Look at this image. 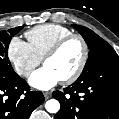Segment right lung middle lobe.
<instances>
[{
  "instance_id": "obj_1",
  "label": "right lung middle lobe",
  "mask_w": 119,
  "mask_h": 119,
  "mask_svg": "<svg viewBox=\"0 0 119 119\" xmlns=\"http://www.w3.org/2000/svg\"><path fill=\"white\" fill-rule=\"evenodd\" d=\"M22 27H17L9 29L8 32L0 31V74L11 75L15 72L11 66L8 56V46L11 41L12 36L18 33Z\"/></svg>"
}]
</instances>
